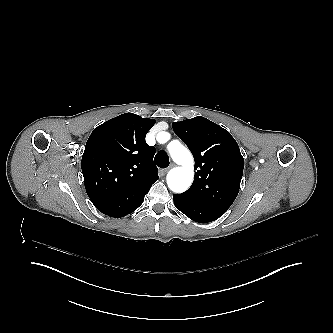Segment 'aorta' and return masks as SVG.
I'll return each mask as SVG.
<instances>
[{"mask_svg": "<svg viewBox=\"0 0 333 333\" xmlns=\"http://www.w3.org/2000/svg\"><path fill=\"white\" fill-rule=\"evenodd\" d=\"M169 151L172 159L175 162H180L181 167H177L176 171H169L167 174V183L169 188L176 192L181 193L186 191L194 177V161L191 153L182 145H169Z\"/></svg>", "mask_w": 333, "mask_h": 333, "instance_id": "762f6f07", "label": "aorta"}]
</instances>
